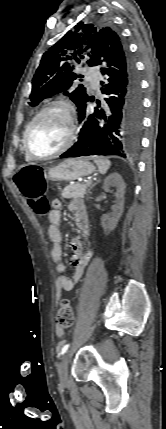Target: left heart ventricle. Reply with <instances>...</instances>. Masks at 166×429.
<instances>
[{
  "mask_svg": "<svg viewBox=\"0 0 166 429\" xmlns=\"http://www.w3.org/2000/svg\"><path fill=\"white\" fill-rule=\"evenodd\" d=\"M67 138V120L59 110H51L38 119L29 135V148L38 155L58 150Z\"/></svg>",
  "mask_w": 166,
  "mask_h": 429,
  "instance_id": "b2bd125f",
  "label": "left heart ventricle"
}]
</instances>
